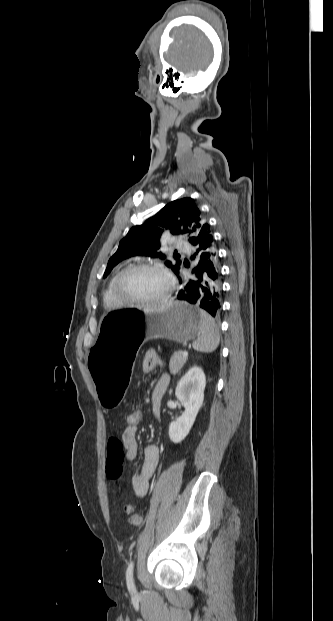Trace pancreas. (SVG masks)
Returning a JSON list of instances; mask_svg holds the SVG:
<instances>
[{
    "instance_id": "cf45deb5",
    "label": "pancreas",
    "mask_w": 333,
    "mask_h": 621,
    "mask_svg": "<svg viewBox=\"0 0 333 621\" xmlns=\"http://www.w3.org/2000/svg\"><path fill=\"white\" fill-rule=\"evenodd\" d=\"M186 361H187V358L182 356V351L181 350L176 351L171 356V359L169 362L170 372L174 375L180 372L181 368L186 363Z\"/></svg>"
}]
</instances>
